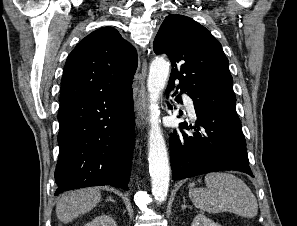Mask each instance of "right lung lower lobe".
I'll return each mask as SVG.
<instances>
[{
	"label": "right lung lower lobe",
	"instance_id": "1",
	"mask_svg": "<svg viewBox=\"0 0 297 226\" xmlns=\"http://www.w3.org/2000/svg\"><path fill=\"white\" fill-rule=\"evenodd\" d=\"M58 121L55 195L101 185L128 190L135 125L131 87L61 102Z\"/></svg>",
	"mask_w": 297,
	"mask_h": 226
}]
</instances>
